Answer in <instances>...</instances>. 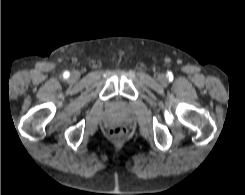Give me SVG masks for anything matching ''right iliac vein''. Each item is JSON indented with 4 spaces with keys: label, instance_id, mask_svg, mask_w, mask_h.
Instances as JSON below:
<instances>
[{
    "label": "right iliac vein",
    "instance_id": "right-iliac-vein-1",
    "mask_svg": "<svg viewBox=\"0 0 245 195\" xmlns=\"http://www.w3.org/2000/svg\"><path fill=\"white\" fill-rule=\"evenodd\" d=\"M79 78V75L77 72H73L70 76L71 81L75 82Z\"/></svg>",
    "mask_w": 245,
    "mask_h": 195
}]
</instances>
